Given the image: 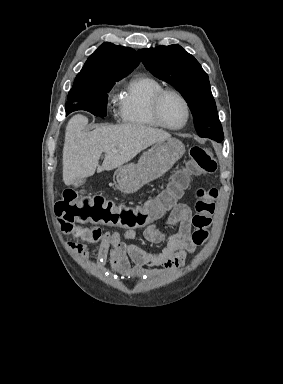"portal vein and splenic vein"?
<instances>
[{"instance_id":"1","label":"portal vein and splenic vein","mask_w":283,"mask_h":384,"mask_svg":"<svg viewBox=\"0 0 283 384\" xmlns=\"http://www.w3.org/2000/svg\"><path fill=\"white\" fill-rule=\"evenodd\" d=\"M112 152H118V150H112Z\"/></svg>"}]
</instances>
